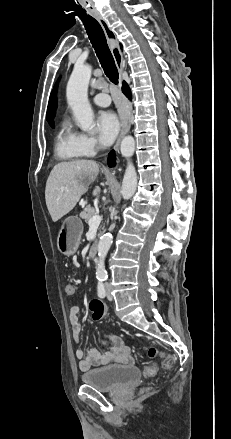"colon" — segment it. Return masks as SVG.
Instances as JSON below:
<instances>
[{
  "label": "colon",
  "instance_id": "colon-1",
  "mask_svg": "<svg viewBox=\"0 0 231 439\" xmlns=\"http://www.w3.org/2000/svg\"><path fill=\"white\" fill-rule=\"evenodd\" d=\"M65 292L69 296H74L76 294V286L72 281H68L65 284ZM90 310L92 313V317L95 321L101 320L105 315V306L99 300L91 301ZM148 356L150 358L161 357L163 367L166 369L171 368L174 364V359L171 355L165 354L155 347H151L148 350ZM143 373H144L145 377L151 378L155 375L156 368L153 364H149V365L144 367Z\"/></svg>",
  "mask_w": 231,
  "mask_h": 439
}]
</instances>
